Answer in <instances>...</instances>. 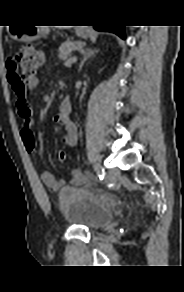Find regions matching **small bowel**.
<instances>
[{
	"label": "small bowel",
	"mask_w": 184,
	"mask_h": 292,
	"mask_svg": "<svg viewBox=\"0 0 184 292\" xmlns=\"http://www.w3.org/2000/svg\"><path fill=\"white\" fill-rule=\"evenodd\" d=\"M39 83L37 77H34L28 83L30 89L35 88ZM16 94V111L21 119V137L23 140V134L26 131L33 133V112H31L22 97L19 90L11 84ZM56 131L61 135L64 144L68 147H74L77 143V129L73 122L70 120L67 114H57L55 116ZM28 151V150H27ZM29 152V151H28ZM41 180L45 186L50 189L58 190L64 185V180H58L55 175L50 171H44L41 174ZM69 182L71 185L78 187L88 183V177L80 170H72L69 176Z\"/></svg>",
	"instance_id": "1"
}]
</instances>
